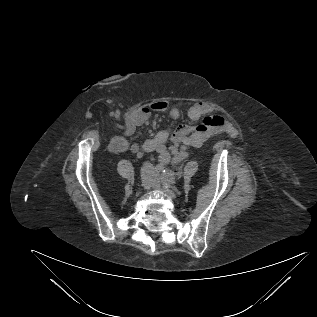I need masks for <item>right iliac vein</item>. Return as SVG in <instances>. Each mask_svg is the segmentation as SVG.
Instances as JSON below:
<instances>
[{"label": "right iliac vein", "instance_id": "obj_1", "mask_svg": "<svg viewBox=\"0 0 317 317\" xmlns=\"http://www.w3.org/2000/svg\"><path fill=\"white\" fill-rule=\"evenodd\" d=\"M150 177V169L149 167L147 166H144L142 169H141V179L145 185L146 188L149 187V184H148V179Z\"/></svg>", "mask_w": 317, "mask_h": 317}]
</instances>
